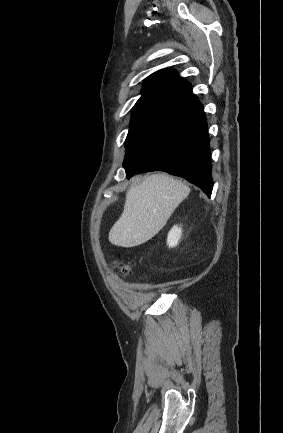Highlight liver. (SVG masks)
<instances>
[{"label":"liver","instance_id":"6515ba94","mask_svg":"<svg viewBox=\"0 0 283 433\" xmlns=\"http://www.w3.org/2000/svg\"><path fill=\"white\" fill-rule=\"evenodd\" d=\"M131 182L124 210L108 237L112 245L126 249L157 235L190 192L189 186L168 174H151L144 180L132 178Z\"/></svg>","mask_w":283,"mask_h":433}]
</instances>
